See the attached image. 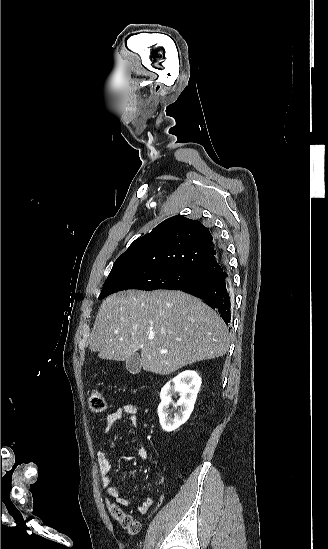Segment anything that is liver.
I'll return each instance as SVG.
<instances>
[{
    "label": "liver",
    "instance_id": "1",
    "mask_svg": "<svg viewBox=\"0 0 328 549\" xmlns=\"http://www.w3.org/2000/svg\"><path fill=\"white\" fill-rule=\"evenodd\" d=\"M229 345L224 321L201 299L181 291L131 289L103 301L89 347L107 361H127L141 351L144 371L171 375L196 361L222 357Z\"/></svg>",
    "mask_w": 328,
    "mask_h": 549
}]
</instances>
